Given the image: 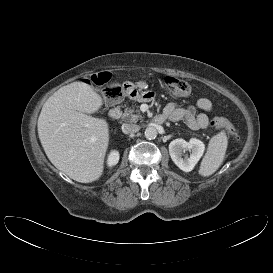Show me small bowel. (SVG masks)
<instances>
[{"mask_svg": "<svg viewBox=\"0 0 273 273\" xmlns=\"http://www.w3.org/2000/svg\"><path fill=\"white\" fill-rule=\"evenodd\" d=\"M211 109V101L207 98H200L195 106L181 107L177 103H169L162 116L172 122L183 120L190 129L199 130L209 126V118L206 113Z\"/></svg>", "mask_w": 273, "mask_h": 273, "instance_id": "c3829d8e", "label": "small bowel"}]
</instances>
